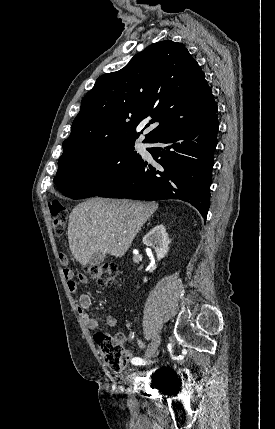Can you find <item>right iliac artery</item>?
I'll return each mask as SVG.
<instances>
[{"mask_svg":"<svg viewBox=\"0 0 275 429\" xmlns=\"http://www.w3.org/2000/svg\"><path fill=\"white\" fill-rule=\"evenodd\" d=\"M131 362L134 365H145V361L140 357H134Z\"/></svg>","mask_w":275,"mask_h":429,"instance_id":"obj_1","label":"right iliac artery"}]
</instances>
